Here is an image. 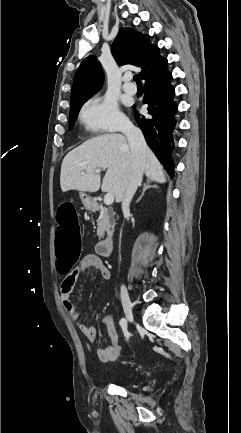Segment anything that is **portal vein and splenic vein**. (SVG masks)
<instances>
[{
    "mask_svg": "<svg viewBox=\"0 0 241 433\" xmlns=\"http://www.w3.org/2000/svg\"><path fill=\"white\" fill-rule=\"evenodd\" d=\"M95 172H96V173H100L101 170H100V169H96ZM80 174H81V175H84L85 172H81ZM113 202H114V196H113V194H111V193H107V194L104 196V204H105V205H111Z\"/></svg>",
    "mask_w": 241,
    "mask_h": 433,
    "instance_id": "portal-vein-and-splenic-vein-1",
    "label": "portal vein and splenic vein"
}]
</instances>
